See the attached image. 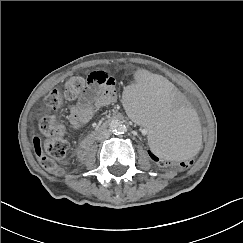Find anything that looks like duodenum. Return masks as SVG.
Returning <instances> with one entry per match:
<instances>
[{"label": "duodenum", "instance_id": "410a0bca", "mask_svg": "<svg viewBox=\"0 0 243 243\" xmlns=\"http://www.w3.org/2000/svg\"><path fill=\"white\" fill-rule=\"evenodd\" d=\"M122 120H123V116L121 114H115L109 120H107L106 122H104L100 127H98L93 133H91L90 135H88L81 142V145L79 147V154L81 156L86 155V153L90 149V146H91V143H92L93 139L96 137L97 134H99V133L107 130L112 123L120 122Z\"/></svg>", "mask_w": 243, "mask_h": 243}]
</instances>
